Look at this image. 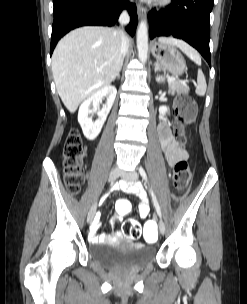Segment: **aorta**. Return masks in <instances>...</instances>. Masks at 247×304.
<instances>
[{
	"mask_svg": "<svg viewBox=\"0 0 247 304\" xmlns=\"http://www.w3.org/2000/svg\"><path fill=\"white\" fill-rule=\"evenodd\" d=\"M137 49L138 57L141 62L145 63L148 53V31L147 23L145 20H141L137 30Z\"/></svg>",
	"mask_w": 247,
	"mask_h": 304,
	"instance_id": "aorta-1",
	"label": "aorta"
}]
</instances>
